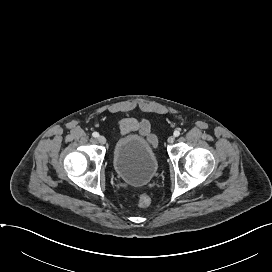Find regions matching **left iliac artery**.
<instances>
[{
    "label": "left iliac artery",
    "instance_id": "obj_1",
    "mask_svg": "<svg viewBox=\"0 0 272 272\" xmlns=\"http://www.w3.org/2000/svg\"><path fill=\"white\" fill-rule=\"evenodd\" d=\"M173 134H174L175 137H178L180 135V131L179 130H175Z\"/></svg>",
    "mask_w": 272,
    "mask_h": 272
}]
</instances>
